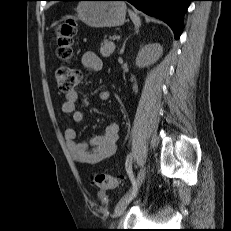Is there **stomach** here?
<instances>
[{
  "label": "stomach",
  "mask_w": 231,
  "mask_h": 231,
  "mask_svg": "<svg viewBox=\"0 0 231 231\" xmlns=\"http://www.w3.org/2000/svg\"><path fill=\"white\" fill-rule=\"evenodd\" d=\"M76 11L86 25L94 28L123 25L126 16L125 4L114 0H85L79 2Z\"/></svg>",
  "instance_id": "obj_1"
}]
</instances>
